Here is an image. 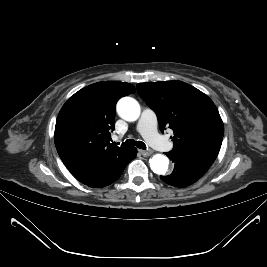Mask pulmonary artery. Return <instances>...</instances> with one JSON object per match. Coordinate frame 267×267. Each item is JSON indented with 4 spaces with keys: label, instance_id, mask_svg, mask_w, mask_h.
<instances>
[{
    "label": "pulmonary artery",
    "instance_id": "e3ab8cb5",
    "mask_svg": "<svg viewBox=\"0 0 267 267\" xmlns=\"http://www.w3.org/2000/svg\"><path fill=\"white\" fill-rule=\"evenodd\" d=\"M137 130L152 147L161 151L171 148V144L158 133L157 116L151 109L146 108L142 111L137 123Z\"/></svg>",
    "mask_w": 267,
    "mask_h": 267
}]
</instances>
